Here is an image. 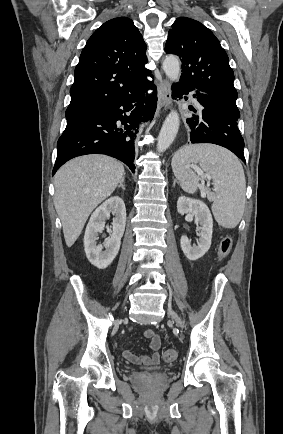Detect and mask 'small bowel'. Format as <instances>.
<instances>
[{"label": "small bowel", "mask_w": 283, "mask_h": 434, "mask_svg": "<svg viewBox=\"0 0 283 434\" xmlns=\"http://www.w3.org/2000/svg\"><path fill=\"white\" fill-rule=\"evenodd\" d=\"M144 337L150 340L149 347L152 351L151 355L138 357L129 350H123V357L133 364H141L144 366H155L160 363V354L158 350L161 347V338L152 329L144 331Z\"/></svg>", "instance_id": "1"}]
</instances>
